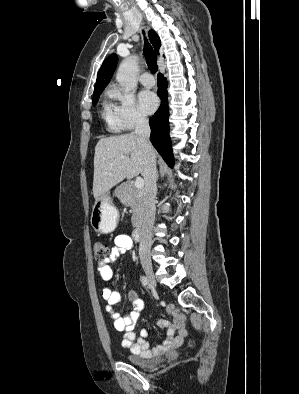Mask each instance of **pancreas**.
Returning <instances> with one entry per match:
<instances>
[{"label": "pancreas", "mask_w": 299, "mask_h": 394, "mask_svg": "<svg viewBox=\"0 0 299 394\" xmlns=\"http://www.w3.org/2000/svg\"><path fill=\"white\" fill-rule=\"evenodd\" d=\"M123 203L132 209V225L138 227L144 212V193L135 188L131 182L122 183L116 190Z\"/></svg>", "instance_id": "obj_1"}]
</instances>
